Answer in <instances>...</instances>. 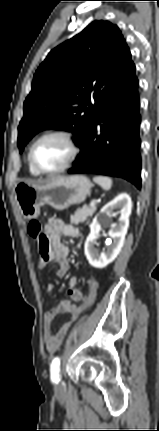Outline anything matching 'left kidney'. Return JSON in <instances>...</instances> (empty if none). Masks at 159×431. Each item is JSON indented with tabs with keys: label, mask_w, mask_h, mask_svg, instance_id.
I'll return each mask as SVG.
<instances>
[{
	"label": "left kidney",
	"mask_w": 159,
	"mask_h": 431,
	"mask_svg": "<svg viewBox=\"0 0 159 431\" xmlns=\"http://www.w3.org/2000/svg\"><path fill=\"white\" fill-rule=\"evenodd\" d=\"M132 201L128 194L121 193L111 202L107 203L95 216L90 225V234L86 239L84 252L89 264L95 268L102 269L113 262L123 247L125 236L129 227V216L131 214ZM120 213L119 222L111 225L109 236L112 241L107 245V250L99 253L94 247L99 237L101 227L111 224L113 211Z\"/></svg>",
	"instance_id": "obj_1"
}]
</instances>
